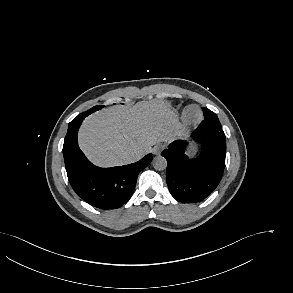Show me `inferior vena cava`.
I'll use <instances>...</instances> for the list:
<instances>
[{
	"label": "inferior vena cava",
	"mask_w": 293,
	"mask_h": 293,
	"mask_svg": "<svg viewBox=\"0 0 293 293\" xmlns=\"http://www.w3.org/2000/svg\"><path fill=\"white\" fill-rule=\"evenodd\" d=\"M142 158V154L141 153H135L131 156V162H135L138 161Z\"/></svg>",
	"instance_id": "obj_1"
}]
</instances>
